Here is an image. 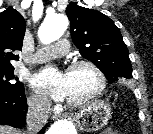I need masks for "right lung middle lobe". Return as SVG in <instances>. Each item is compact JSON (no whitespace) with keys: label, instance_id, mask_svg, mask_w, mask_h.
Wrapping results in <instances>:
<instances>
[{"label":"right lung middle lobe","instance_id":"obj_1","mask_svg":"<svg viewBox=\"0 0 153 134\" xmlns=\"http://www.w3.org/2000/svg\"><path fill=\"white\" fill-rule=\"evenodd\" d=\"M0 90L18 93L24 90V85L14 75V67L0 68Z\"/></svg>","mask_w":153,"mask_h":134}]
</instances>
